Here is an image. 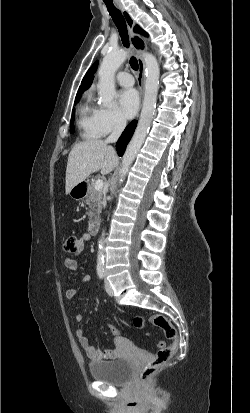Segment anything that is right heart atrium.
<instances>
[{
	"label": "right heart atrium",
	"instance_id": "right-heart-atrium-1",
	"mask_svg": "<svg viewBox=\"0 0 250 413\" xmlns=\"http://www.w3.org/2000/svg\"><path fill=\"white\" fill-rule=\"evenodd\" d=\"M126 119L116 107H100L97 109V124L101 136L122 131Z\"/></svg>",
	"mask_w": 250,
	"mask_h": 413
}]
</instances>
